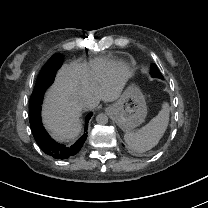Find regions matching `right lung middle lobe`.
I'll return each instance as SVG.
<instances>
[{"label": "right lung middle lobe", "mask_w": 208, "mask_h": 208, "mask_svg": "<svg viewBox=\"0 0 208 208\" xmlns=\"http://www.w3.org/2000/svg\"><path fill=\"white\" fill-rule=\"evenodd\" d=\"M61 56H62V55L58 53V54L53 55L52 57H61ZM52 57H51V58H52ZM37 79H38V78H37ZM36 83H37V81H36ZM35 86H36V85H35ZM34 89H35V88H34Z\"/></svg>", "instance_id": "dd1d6c3e"}]
</instances>
